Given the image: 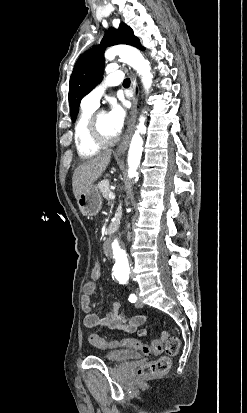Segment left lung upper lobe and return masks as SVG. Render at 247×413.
Listing matches in <instances>:
<instances>
[{
	"label": "left lung upper lobe",
	"mask_w": 247,
	"mask_h": 413,
	"mask_svg": "<svg viewBox=\"0 0 247 413\" xmlns=\"http://www.w3.org/2000/svg\"><path fill=\"white\" fill-rule=\"evenodd\" d=\"M115 44H127L145 50L132 29L125 23L119 28H109L100 45L84 52L77 60L71 78L69 89V105L71 119L74 122L81 99L88 94L101 80L104 72V51L106 47Z\"/></svg>",
	"instance_id": "1"
}]
</instances>
